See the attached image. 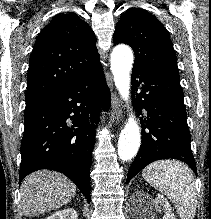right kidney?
<instances>
[{
	"mask_svg": "<svg viewBox=\"0 0 211 219\" xmlns=\"http://www.w3.org/2000/svg\"><path fill=\"white\" fill-rule=\"evenodd\" d=\"M77 213L72 208L63 209L55 212L46 219H78Z\"/></svg>",
	"mask_w": 211,
	"mask_h": 219,
	"instance_id": "right-kidney-1",
	"label": "right kidney"
}]
</instances>
